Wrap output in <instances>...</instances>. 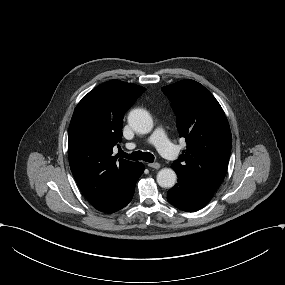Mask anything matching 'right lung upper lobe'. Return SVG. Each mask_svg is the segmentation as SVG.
I'll use <instances>...</instances> for the list:
<instances>
[{
	"label": "right lung upper lobe",
	"instance_id": "1",
	"mask_svg": "<svg viewBox=\"0 0 285 285\" xmlns=\"http://www.w3.org/2000/svg\"><path fill=\"white\" fill-rule=\"evenodd\" d=\"M145 91L120 80L100 84L77 105L69 126L71 171L87 200L99 211L112 206L140 162L113 156L122 140L125 111Z\"/></svg>",
	"mask_w": 285,
	"mask_h": 285
}]
</instances>
